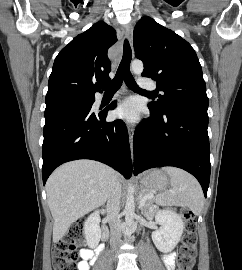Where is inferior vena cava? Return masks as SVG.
<instances>
[{"instance_id": "inferior-vena-cava-1", "label": "inferior vena cava", "mask_w": 242, "mask_h": 270, "mask_svg": "<svg viewBox=\"0 0 242 270\" xmlns=\"http://www.w3.org/2000/svg\"><path fill=\"white\" fill-rule=\"evenodd\" d=\"M121 185L115 180L112 184L107 201V218L111 230V245L116 247L121 241L122 223L119 218Z\"/></svg>"}]
</instances>
